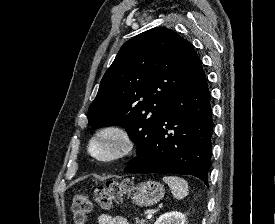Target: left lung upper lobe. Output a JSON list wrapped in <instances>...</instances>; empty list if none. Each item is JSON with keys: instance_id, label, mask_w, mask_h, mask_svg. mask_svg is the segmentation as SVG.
<instances>
[{"instance_id": "obj_1", "label": "left lung upper lobe", "mask_w": 275, "mask_h": 224, "mask_svg": "<svg viewBox=\"0 0 275 224\" xmlns=\"http://www.w3.org/2000/svg\"><path fill=\"white\" fill-rule=\"evenodd\" d=\"M200 67L192 45L171 29L156 27L131 38L104 74L88 110V124L94 129L125 127L138 153Z\"/></svg>"}]
</instances>
